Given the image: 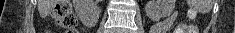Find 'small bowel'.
Masks as SVG:
<instances>
[{
    "instance_id": "small-bowel-1",
    "label": "small bowel",
    "mask_w": 235,
    "mask_h": 33,
    "mask_svg": "<svg viewBox=\"0 0 235 33\" xmlns=\"http://www.w3.org/2000/svg\"><path fill=\"white\" fill-rule=\"evenodd\" d=\"M175 18L176 14H172L162 22L155 24L151 28L150 33H168L175 21Z\"/></svg>"
}]
</instances>
